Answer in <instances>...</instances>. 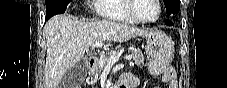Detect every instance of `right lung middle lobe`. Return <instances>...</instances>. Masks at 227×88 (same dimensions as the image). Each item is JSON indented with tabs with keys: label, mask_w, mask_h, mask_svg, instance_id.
<instances>
[{
	"label": "right lung middle lobe",
	"mask_w": 227,
	"mask_h": 88,
	"mask_svg": "<svg viewBox=\"0 0 227 88\" xmlns=\"http://www.w3.org/2000/svg\"><path fill=\"white\" fill-rule=\"evenodd\" d=\"M71 0H46L47 20L56 14L64 13Z\"/></svg>",
	"instance_id": "1"
}]
</instances>
